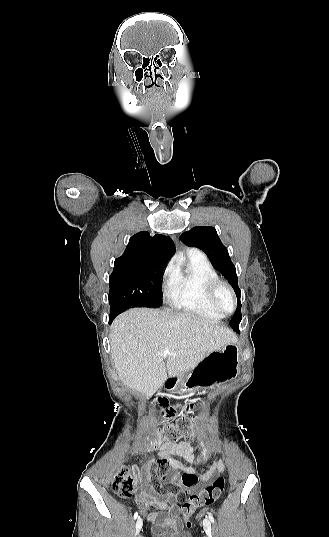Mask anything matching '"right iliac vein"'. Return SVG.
I'll use <instances>...</instances> for the list:
<instances>
[{
    "instance_id": "1",
    "label": "right iliac vein",
    "mask_w": 329,
    "mask_h": 537,
    "mask_svg": "<svg viewBox=\"0 0 329 537\" xmlns=\"http://www.w3.org/2000/svg\"><path fill=\"white\" fill-rule=\"evenodd\" d=\"M142 525H143L142 519L138 518V520L136 521V525H135V535L140 533L142 529Z\"/></svg>"
}]
</instances>
